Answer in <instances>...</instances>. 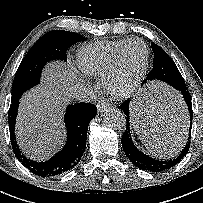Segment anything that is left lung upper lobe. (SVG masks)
Wrapping results in <instances>:
<instances>
[{
  "instance_id": "5c2ea615",
  "label": "left lung upper lobe",
  "mask_w": 203,
  "mask_h": 203,
  "mask_svg": "<svg viewBox=\"0 0 203 203\" xmlns=\"http://www.w3.org/2000/svg\"><path fill=\"white\" fill-rule=\"evenodd\" d=\"M151 46L154 52L153 69L148 74L146 80L158 79L166 81L165 76L169 72V67H172L173 69L176 68L177 70L178 68L174 61L166 54V52L162 48H160L154 42L151 43ZM179 75L181 76L180 72Z\"/></svg>"
}]
</instances>
